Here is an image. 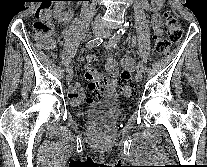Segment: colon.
I'll return each instance as SVG.
<instances>
[{
    "label": "colon",
    "instance_id": "1",
    "mask_svg": "<svg viewBox=\"0 0 207 167\" xmlns=\"http://www.w3.org/2000/svg\"><path fill=\"white\" fill-rule=\"evenodd\" d=\"M33 29L38 38L47 41L48 48L53 47L54 43L51 39L53 18L50 7L43 6L37 9ZM166 30L168 33L167 37H157L155 39V49L159 54L166 53L170 45L179 43L183 37V29L177 17L170 13L166 14ZM119 91L125 96H131L136 91L134 83L129 82L124 74H122V81L119 84Z\"/></svg>",
    "mask_w": 207,
    "mask_h": 167
}]
</instances>
